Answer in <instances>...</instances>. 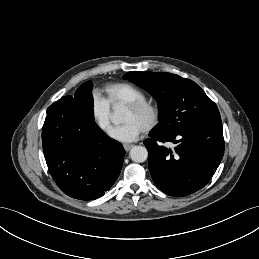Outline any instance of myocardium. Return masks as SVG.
<instances>
[{
	"label": "myocardium",
	"instance_id": "obj_1",
	"mask_svg": "<svg viewBox=\"0 0 259 259\" xmlns=\"http://www.w3.org/2000/svg\"><path fill=\"white\" fill-rule=\"evenodd\" d=\"M124 110L133 113L147 112L150 115L148 123L142 128L144 133L153 131L161 121V109L158 104L150 100L135 101L124 106Z\"/></svg>",
	"mask_w": 259,
	"mask_h": 259
}]
</instances>
